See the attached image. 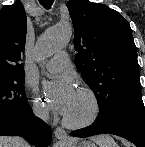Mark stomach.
Listing matches in <instances>:
<instances>
[{"instance_id": "stomach-1", "label": "stomach", "mask_w": 145, "mask_h": 147, "mask_svg": "<svg viewBox=\"0 0 145 147\" xmlns=\"http://www.w3.org/2000/svg\"><path fill=\"white\" fill-rule=\"evenodd\" d=\"M65 147H95V145L91 142L83 141L79 145L74 142L71 144H66Z\"/></svg>"}]
</instances>
